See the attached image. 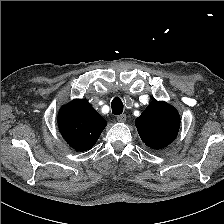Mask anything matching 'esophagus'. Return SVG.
<instances>
[{
    "label": "esophagus",
    "instance_id": "34e87169",
    "mask_svg": "<svg viewBox=\"0 0 224 224\" xmlns=\"http://www.w3.org/2000/svg\"><path fill=\"white\" fill-rule=\"evenodd\" d=\"M126 119H127L126 114H121V115L117 116V121L120 122V123L125 122Z\"/></svg>",
    "mask_w": 224,
    "mask_h": 224
}]
</instances>
